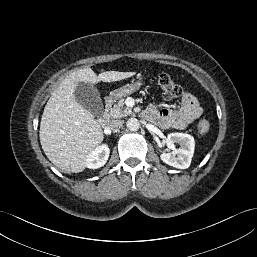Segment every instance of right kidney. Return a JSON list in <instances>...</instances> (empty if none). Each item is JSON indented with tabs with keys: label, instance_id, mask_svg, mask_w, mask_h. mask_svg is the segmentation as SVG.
Returning <instances> with one entry per match:
<instances>
[{
	"label": "right kidney",
	"instance_id": "obj_1",
	"mask_svg": "<svg viewBox=\"0 0 257 257\" xmlns=\"http://www.w3.org/2000/svg\"><path fill=\"white\" fill-rule=\"evenodd\" d=\"M109 153L110 150L106 144L96 147L88 155L86 159V167L89 169H97L104 166L109 158Z\"/></svg>",
	"mask_w": 257,
	"mask_h": 257
}]
</instances>
